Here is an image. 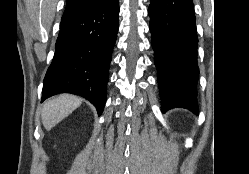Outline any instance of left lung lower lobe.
Masks as SVG:
<instances>
[{
  "mask_svg": "<svg viewBox=\"0 0 249 174\" xmlns=\"http://www.w3.org/2000/svg\"><path fill=\"white\" fill-rule=\"evenodd\" d=\"M148 13L162 112L183 107L198 115V38L193 1L150 0Z\"/></svg>",
  "mask_w": 249,
  "mask_h": 174,
  "instance_id": "0a47b994",
  "label": "left lung lower lobe"
}]
</instances>
